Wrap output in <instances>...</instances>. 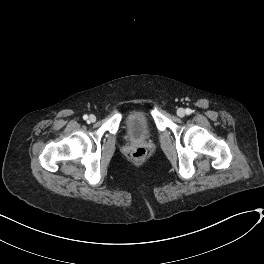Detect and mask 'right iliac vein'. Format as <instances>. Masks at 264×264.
<instances>
[{
	"instance_id": "63e3f726",
	"label": "right iliac vein",
	"mask_w": 264,
	"mask_h": 264,
	"mask_svg": "<svg viewBox=\"0 0 264 264\" xmlns=\"http://www.w3.org/2000/svg\"><path fill=\"white\" fill-rule=\"evenodd\" d=\"M89 121L90 122H95L96 121V117L94 115H90L89 116Z\"/></svg>"
}]
</instances>
